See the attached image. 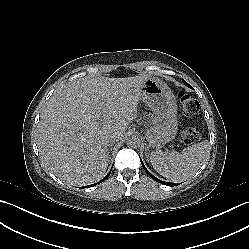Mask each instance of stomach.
I'll return each mask as SVG.
<instances>
[{
  "mask_svg": "<svg viewBox=\"0 0 249 249\" xmlns=\"http://www.w3.org/2000/svg\"><path fill=\"white\" fill-rule=\"evenodd\" d=\"M139 99L145 102L155 117L146 138L149 145L161 148L177 134V121L172 91L157 79H147L139 91Z\"/></svg>",
  "mask_w": 249,
  "mask_h": 249,
  "instance_id": "obj_1",
  "label": "stomach"
}]
</instances>
